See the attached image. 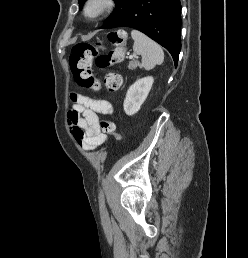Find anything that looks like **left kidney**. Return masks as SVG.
Here are the masks:
<instances>
[{"mask_svg": "<svg viewBox=\"0 0 248 258\" xmlns=\"http://www.w3.org/2000/svg\"><path fill=\"white\" fill-rule=\"evenodd\" d=\"M153 82V77L148 76L138 79L129 87L123 105L127 115L132 116L140 110L141 105L144 103L151 90Z\"/></svg>", "mask_w": 248, "mask_h": 258, "instance_id": "1", "label": "left kidney"}]
</instances>
